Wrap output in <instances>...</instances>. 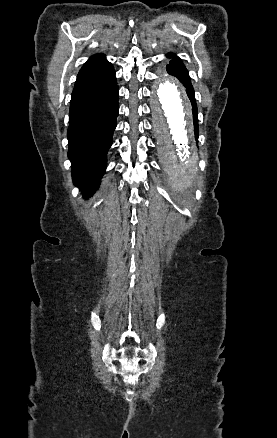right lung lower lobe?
<instances>
[{"mask_svg": "<svg viewBox=\"0 0 277 438\" xmlns=\"http://www.w3.org/2000/svg\"><path fill=\"white\" fill-rule=\"evenodd\" d=\"M119 90L114 69L75 84L69 113L68 157L72 177L85 197L91 196L105 173L118 115Z\"/></svg>", "mask_w": 277, "mask_h": 438, "instance_id": "obj_1", "label": "right lung lower lobe"}]
</instances>
